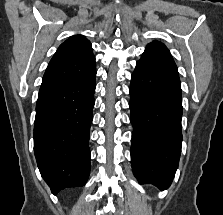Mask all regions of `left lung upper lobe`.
<instances>
[{
    "instance_id": "obj_1",
    "label": "left lung upper lobe",
    "mask_w": 223,
    "mask_h": 215,
    "mask_svg": "<svg viewBox=\"0 0 223 215\" xmlns=\"http://www.w3.org/2000/svg\"><path fill=\"white\" fill-rule=\"evenodd\" d=\"M140 61H145L155 65L165 66L177 70V66L166 46L158 41H154L146 46Z\"/></svg>"
}]
</instances>
